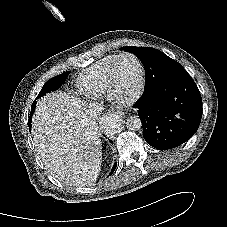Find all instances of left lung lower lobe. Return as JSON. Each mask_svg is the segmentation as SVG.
Here are the masks:
<instances>
[{
	"mask_svg": "<svg viewBox=\"0 0 227 227\" xmlns=\"http://www.w3.org/2000/svg\"><path fill=\"white\" fill-rule=\"evenodd\" d=\"M134 107L146 142L164 150L189 140L198 129L202 115L199 89L186 71L144 89Z\"/></svg>",
	"mask_w": 227,
	"mask_h": 227,
	"instance_id": "1",
	"label": "left lung lower lobe"
}]
</instances>
